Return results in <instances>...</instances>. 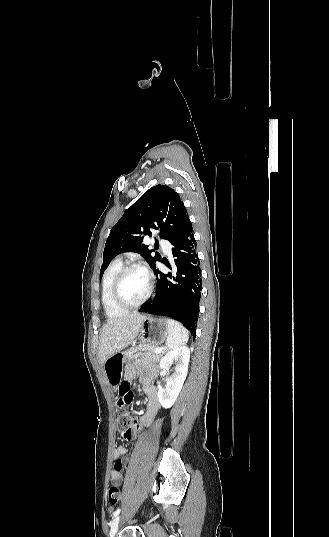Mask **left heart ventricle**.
Segmentation results:
<instances>
[{
    "label": "left heart ventricle",
    "mask_w": 329,
    "mask_h": 537,
    "mask_svg": "<svg viewBox=\"0 0 329 537\" xmlns=\"http://www.w3.org/2000/svg\"><path fill=\"white\" fill-rule=\"evenodd\" d=\"M148 278L141 270H133L127 273L121 284V296L127 303L138 302L146 293Z\"/></svg>",
    "instance_id": "1"
}]
</instances>
